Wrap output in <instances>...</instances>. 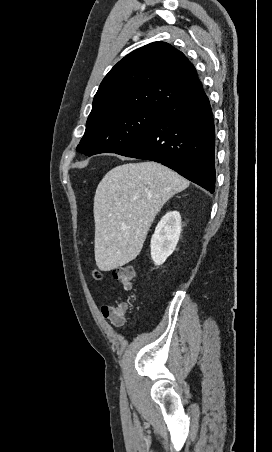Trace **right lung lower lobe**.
Listing matches in <instances>:
<instances>
[{
	"label": "right lung lower lobe",
	"mask_w": 272,
	"mask_h": 452,
	"mask_svg": "<svg viewBox=\"0 0 272 452\" xmlns=\"http://www.w3.org/2000/svg\"><path fill=\"white\" fill-rule=\"evenodd\" d=\"M117 154L159 162L213 193L215 126L203 88L162 113L141 137Z\"/></svg>",
	"instance_id": "1"
}]
</instances>
